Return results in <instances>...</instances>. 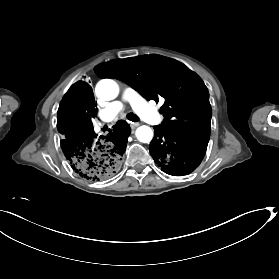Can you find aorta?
Masks as SVG:
<instances>
[{
  "label": "aorta",
  "instance_id": "762f6f07",
  "mask_svg": "<svg viewBox=\"0 0 279 279\" xmlns=\"http://www.w3.org/2000/svg\"><path fill=\"white\" fill-rule=\"evenodd\" d=\"M95 93L102 100H113L119 94V86L112 79H103L97 83ZM135 134L137 139L143 143H149L153 138L152 129L146 125L138 127Z\"/></svg>",
  "mask_w": 279,
  "mask_h": 279
}]
</instances>
